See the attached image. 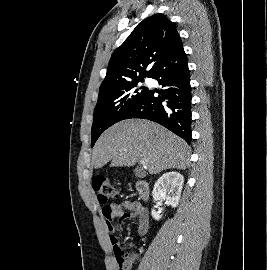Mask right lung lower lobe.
I'll use <instances>...</instances> for the list:
<instances>
[{"instance_id": "right-lung-lower-lobe-1", "label": "right lung lower lobe", "mask_w": 267, "mask_h": 270, "mask_svg": "<svg viewBox=\"0 0 267 270\" xmlns=\"http://www.w3.org/2000/svg\"><path fill=\"white\" fill-rule=\"evenodd\" d=\"M150 77L158 80L165 89L158 92L157 97L154 90H148L124 119L144 118L157 122L190 144V71L182 43L164 58Z\"/></svg>"}]
</instances>
